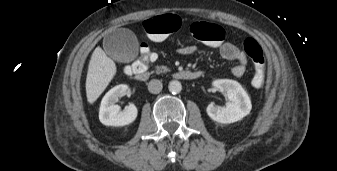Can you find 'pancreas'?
<instances>
[{
  "label": "pancreas",
  "mask_w": 337,
  "mask_h": 171,
  "mask_svg": "<svg viewBox=\"0 0 337 171\" xmlns=\"http://www.w3.org/2000/svg\"><path fill=\"white\" fill-rule=\"evenodd\" d=\"M170 71V69L167 66H157L156 67V72L157 73H165Z\"/></svg>",
  "instance_id": "1"
}]
</instances>
